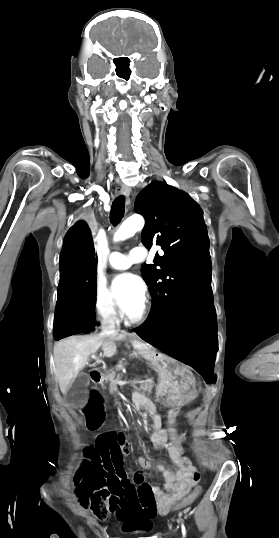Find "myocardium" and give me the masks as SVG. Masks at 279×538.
I'll return each instance as SVG.
<instances>
[{"label":"myocardium","mask_w":279,"mask_h":538,"mask_svg":"<svg viewBox=\"0 0 279 538\" xmlns=\"http://www.w3.org/2000/svg\"><path fill=\"white\" fill-rule=\"evenodd\" d=\"M144 229H145V224L143 226L132 225L130 234L140 233ZM148 308L149 307H148L147 302H144L138 313L134 315H127L126 313H124L123 319H125L127 322L131 324H140L145 321L148 314Z\"/></svg>","instance_id":"myocardium-1"}]
</instances>
